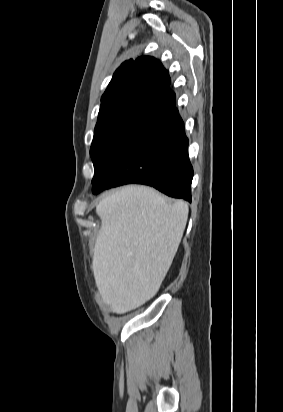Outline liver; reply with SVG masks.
<instances>
[{
	"label": "liver",
	"instance_id": "liver-1",
	"mask_svg": "<svg viewBox=\"0 0 283 412\" xmlns=\"http://www.w3.org/2000/svg\"><path fill=\"white\" fill-rule=\"evenodd\" d=\"M188 204L168 201L154 189L128 185L96 206L101 228L92 268L113 312L143 305L159 290L181 242Z\"/></svg>",
	"mask_w": 283,
	"mask_h": 412
}]
</instances>
